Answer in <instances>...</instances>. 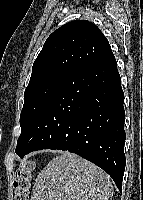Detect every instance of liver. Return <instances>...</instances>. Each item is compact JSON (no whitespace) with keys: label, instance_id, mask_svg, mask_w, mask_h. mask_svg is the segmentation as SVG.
Listing matches in <instances>:
<instances>
[{"label":"liver","instance_id":"1","mask_svg":"<svg viewBox=\"0 0 143 200\" xmlns=\"http://www.w3.org/2000/svg\"><path fill=\"white\" fill-rule=\"evenodd\" d=\"M110 176L98 166L62 152L38 174L31 200H111Z\"/></svg>","mask_w":143,"mask_h":200}]
</instances>
